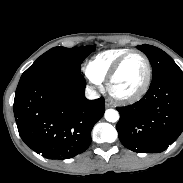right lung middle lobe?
<instances>
[{
  "label": "right lung middle lobe",
  "mask_w": 183,
  "mask_h": 183,
  "mask_svg": "<svg viewBox=\"0 0 183 183\" xmlns=\"http://www.w3.org/2000/svg\"><path fill=\"white\" fill-rule=\"evenodd\" d=\"M95 49L94 46L84 48H65L57 46L42 54L22 74V78L37 76H53L60 73L81 72V63Z\"/></svg>",
  "instance_id": "dd1d6c3e"
}]
</instances>
